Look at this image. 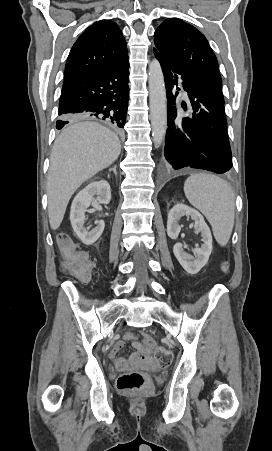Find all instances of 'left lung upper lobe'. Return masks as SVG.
I'll return each instance as SVG.
<instances>
[{"label": "left lung upper lobe", "mask_w": 272, "mask_h": 451, "mask_svg": "<svg viewBox=\"0 0 272 451\" xmlns=\"http://www.w3.org/2000/svg\"><path fill=\"white\" fill-rule=\"evenodd\" d=\"M155 49L224 102L218 63L204 35L178 18L165 20L155 31Z\"/></svg>", "instance_id": "5c2ea615"}]
</instances>
